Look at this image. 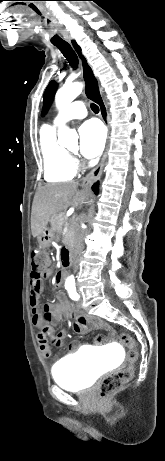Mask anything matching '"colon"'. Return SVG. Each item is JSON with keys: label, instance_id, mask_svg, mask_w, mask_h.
I'll return each instance as SVG.
<instances>
[{"label": "colon", "instance_id": "1", "mask_svg": "<svg viewBox=\"0 0 165 461\" xmlns=\"http://www.w3.org/2000/svg\"><path fill=\"white\" fill-rule=\"evenodd\" d=\"M49 271L47 256L36 251L32 256L31 281L35 288H39L41 278ZM121 343L128 349V365L120 368L114 373L105 376L99 386V396L102 400L108 399L115 392L120 390L133 376L134 365L138 360V350L134 339L126 333L120 335Z\"/></svg>", "mask_w": 165, "mask_h": 461}]
</instances>
